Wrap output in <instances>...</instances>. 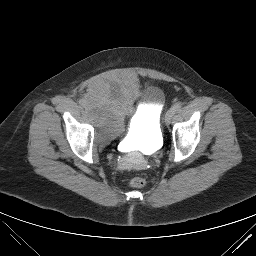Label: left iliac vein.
Returning a JSON list of instances; mask_svg holds the SVG:
<instances>
[{"instance_id": "1", "label": "left iliac vein", "mask_w": 256, "mask_h": 256, "mask_svg": "<svg viewBox=\"0 0 256 256\" xmlns=\"http://www.w3.org/2000/svg\"><path fill=\"white\" fill-rule=\"evenodd\" d=\"M174 114H175V112L172 109H170L166 112V114H165V123L167 125L171 123V120H172Z\"/></svg>"}]
</instances>
